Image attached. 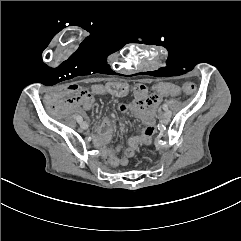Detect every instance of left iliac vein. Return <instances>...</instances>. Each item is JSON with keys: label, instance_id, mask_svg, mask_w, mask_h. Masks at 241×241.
<instances>
[{"label": "left iliac vein", "instance_id": "4c4485c4", "mask_svg": "<svg viewBox=\"0 0 241 241\" xmlns=\"http://www.w3.org/2000/svg\"><path fill=\"white\" fill-rule=\"evenodd\" d=\"M170 117H171V112L169 110H165V112H163L161 116L164 122H168Z\"/></svg>", "mask_w": 241, "mask_h": 241}]
</instances>
